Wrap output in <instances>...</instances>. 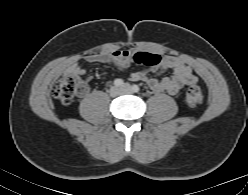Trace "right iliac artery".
<instances>
[{
	"label": "right iliac artery",
	"mask_w": 248,
	"mask_h": 195,
	"mask_svg": "<svg viewBox=\"0 0 248 195\" xmlns=\"http://www.w3.org/2000/svg\"><path fill=\"white\" fill-rule=\"evenodd\" d=\"M125 83L122 79H116L114 80V85L119 87V86H123Z\"/></svg>",
	"instance_id": "1"
}]
</instances>
